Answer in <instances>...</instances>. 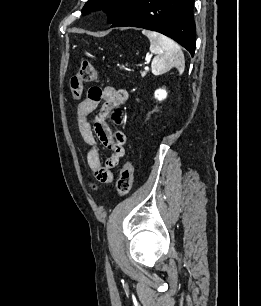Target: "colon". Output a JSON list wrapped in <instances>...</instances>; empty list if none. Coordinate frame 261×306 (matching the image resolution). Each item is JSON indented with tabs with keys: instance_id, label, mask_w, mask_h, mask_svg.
Returning <instances> with one entry per match:
<instances>
[{
	"instance_id": "colon-1",
	"label": "colon",
	"mask_w": 261,
	"mask_h": 306,
	"mask_svg": "<svg viewBox=\"0 0 261 306\" xmlns=\"http://www.w3.org/2000/svg\"><path fill=\"white\" fill-rule=\"evenodd\" d=\"M99 74L95 66L88 60H83L77 72L69 80V89L74 100H78L83 92L85 83L98 82ZM133 182V166L127 161L120 172L116 188L119 195L124 196L129 193Z\"/></svg>"
}]
</instances>
